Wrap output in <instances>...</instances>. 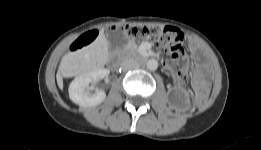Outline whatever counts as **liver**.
<instances>
[{
	"instance_id": "liver-1",
	"label": "liver",
	"mask_w": 261,
	"mask_h": 150,
	"mask_svg": "<svg viewBox=\"0 0 261 150\" xmlns=\"http://www.w3.org/2000/svg\"><path fill=\"white\" fill-rule=\"evenodd\" d=\"M108 41L101 31L98 37L88 46L75 52L65 54L57 71V84L63 90V78L75 73L83 74L102 68L108 61Z\"/></svg>"
}]
</instances>
